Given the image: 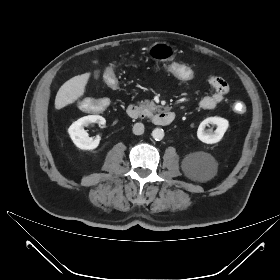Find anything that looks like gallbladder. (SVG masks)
<instances>
[{
    "label": "gallbladder",
    "instance_id": "bac80fb5",
    "mask_svg": "<svg viewBox=\"0 0 280 280\" xmlns=\"http://www.w3.org/2000/svg\"><path fill=\"white\" fill-rule=\"evenodd\" d=\"M98 77H99V71H96L95 74H94V78L98 79Z\"/></svg>",
    "mask_w": 280,
    "mask_h": 280
}]
</instances>
